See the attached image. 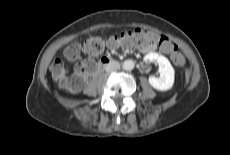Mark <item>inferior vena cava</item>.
Here are the masks:
<instances>
[{
	"mask_svg": "<svg viewBox=\"0 0 230 155\" xmlns=\"http://www.w3.org/2000/svg\"><path fill=\"white\" fill-rule=\"evenodd\" d=\"M119 68L120 63L118 61L113 60L106 65L105 70L110 73L117 71Z\"/></svg>",
	"mask_w": 230,
	"mask_h": 155,
	"instance_id": "602c4592",
	"label": "inferior vena cava"
}]
</instances>
